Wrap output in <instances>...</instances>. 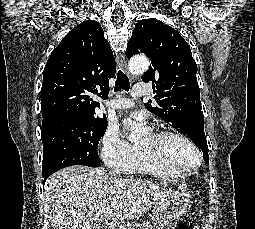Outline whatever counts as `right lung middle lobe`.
<instances>
[{
    "mask_svg": "<svg viewBox=\"0 0 255 229\" xmlns=\"http://www.w3.org/2000/svg\"><path fill=\"white\" fill-rule=\"evenodd\" d=\"M106 129V118L55 117L42 121L43 175L71 165L100 166L97 148Z\"/></svg>",
    "mask_w": 255,
    "mask_h": 229,
    "instance_id": "dd1d6c3e",
    "label": "right lung middle lobe"
}]
</instances>
